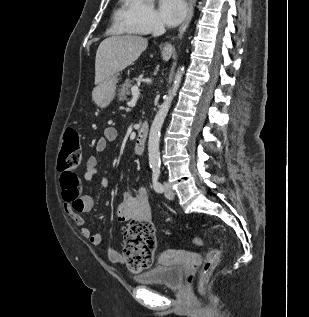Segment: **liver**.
<instances>
[{"label":"liver","mask_w":309,"mask_h":317,"mask_svg":"<svg viewBox=\"0 0 309 317\" xmlns=\"http://www.w3.org/2000/svg\"><path fill=\"white\" fill-rule=\"evenodd\" d=\"M146 38L137 35L111 36L104 39L96 52L95 85L124 70L139 58L147 48ZM173 53V47L167 44L162 51L163 60L168 61Z\"/></svg>","instance_id":"liver-1"}]
</instances>
